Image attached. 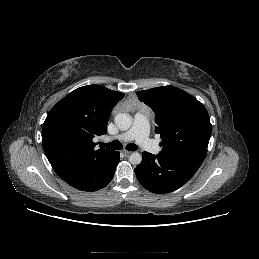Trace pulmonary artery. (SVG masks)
I'll list each match as a JSON object with an SVG mask.
<instances>
[{
  "label": "pulmonary artery",
  "instance_id": "e3ab8cb5",
  "mask_svg": "<svg viewBox=\"0 0 259 259\" xmlns=\"http://www.w3.org/2000/svg\"><path fill=\"white\" fill-rule=\"evenodd\" d=\"M148 125V113L138 112L134 116L132 127L115 136V139L123 142L135 140L143 149L151 153H158L159 147L148 136Z\"/></svg>",
  "mask_w": 259,
  "mask_h": 259
}]
</instances>
